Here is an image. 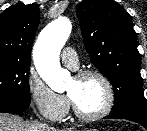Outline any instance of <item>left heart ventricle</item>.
I'll return each instance as SVG.
<instances>
[{
	"label": "left heart ventricle",
	"mask_w": 147,
	"mask_h": 131,
	"mask_svg": "<svg viewBox=\"0 0 147 131\" xmlns=\"http://www.w3.org/2000/svg\"><path fill=\"white\" fill-rule=\"evenodd\" d=\"M67 93L73 98L80 111L86 114L99 111L106 101L104 85L96 77L73 78L67 87Z\"/></svg>",
	"instance_id": "1"
}]
</instances>
